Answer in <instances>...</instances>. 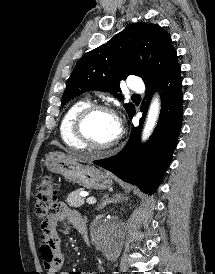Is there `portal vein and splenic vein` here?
Instances as JSON below:
<instances>
[{"mask_svg":"<svg viewBox=\"0 0 215 274\" xmlns=\"http://www.w3.org/2000/svg\"><path fill=\"white\" fill-rule=\"evenodd\" d=\"M83 195V194H82ZM84 196V195H83ZM86 202L88 203V204H95L96 203V199L94 198V197H88L87 199H86Z\"/></svg>","mask_w":215,"mask_h":274,"instance_id":"portal-vein-and-splenic-vein-1","label":"portal vein and splenic vein"}]
</instances>
